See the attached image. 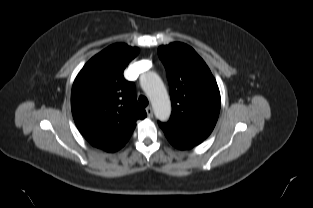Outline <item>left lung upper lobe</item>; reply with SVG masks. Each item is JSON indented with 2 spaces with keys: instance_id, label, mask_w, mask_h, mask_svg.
<instances>
[{
  "instance_id": "1",
  "label": "left lung upper lobe",
  "mask_w": 313,
  "mask_h": 208,
  "mask_svg": "<svg viewBox=\"0 0 313 208\" xmlns=\"http://www.w3.org/2000/svg\"><path fill=\"white\" fill-rule=\"evenodd\" d=\"M170 86L172 114L159 122L170 142L194 147L212 132L220 111V93L211 71L190 46L174 42L158 48Z\"/></svg>"
}]
</instances>
